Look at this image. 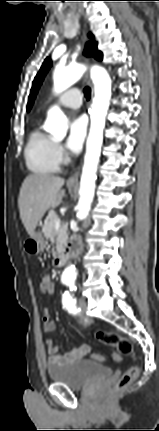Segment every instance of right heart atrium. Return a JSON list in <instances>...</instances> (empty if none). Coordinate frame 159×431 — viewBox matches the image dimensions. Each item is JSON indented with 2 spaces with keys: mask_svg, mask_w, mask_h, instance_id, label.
<instances>
[{
  "mask_svg": "<svg viewBox=\"0 0 159 431\" xmlns=\"http://www.w3.org/2000/svg\"><path fill=\"white\" fill-rule=\"evenodd\" d=\"M55 155H56V158H57L59 164L64 162L65 151H64L63 147L58 143L55 144Z\"/></svg>",
  "mask_w": 159,
  "mask_h": 431,
  "instance_id": "right-heart-atrium-1",
  "label": "right heart atrium"
}]
</instances>
